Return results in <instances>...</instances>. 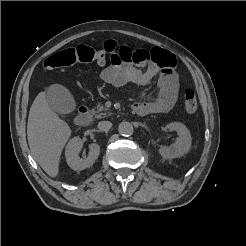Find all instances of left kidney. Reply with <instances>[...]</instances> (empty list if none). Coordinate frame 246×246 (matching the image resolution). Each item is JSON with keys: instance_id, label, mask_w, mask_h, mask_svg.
<instances>
[{"instance_id": "5707ae66", "label": "left kidney", "mask_w": 246, "mask_h": 246, "mask_svg": "<svg viewBox=\"0 0 246 246\" xmlns=\"http://www.w3.org/2000/svg\"><path fill=\"white\" fill-rule=\"evenodd\" d=\"M166 127L170 131H176L178 138L176 142L169 147L161 146L158 150L159 154L166 159H174L183 156L191 147L192 138L190 131L184 124L179 122H171L167 124Z\"/></svg>"}]
</instances>
